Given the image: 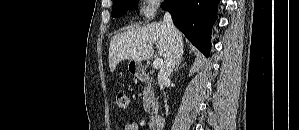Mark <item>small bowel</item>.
<instances>
[{
  "label": "small bowel",
  "instance_id": "c3829d8e",
  "mask_svg": "<svg viewBox=\"0 0 299 130\" xmlns=\"http://www.w3.org/2000/svg\"><path fill=\"white\" fill-rule=\"evenodd\" d=\"M139 126L136 122H129L124 126L123 130H138Z\"/></svg>",
  "mask_w": 299,
  "mask_h": 130
}]
</instances>
